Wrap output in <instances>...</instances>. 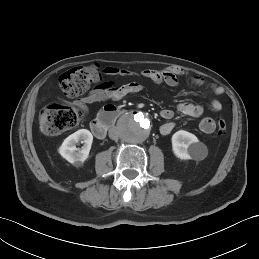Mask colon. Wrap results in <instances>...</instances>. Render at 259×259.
Masks as SVG:
<instances>
[{"instance_id": "1", "label": "colon", "mask_w": 259, "mask_h": 259, "mask_svg": "<svg viewBox=\"0 0 259 259\" xmlns=\"http://www.w3.org/2000/svg\"><path fill=\"white\" fill-rule=\"evenodd\" d=\"M100 78L101 73L96 66L75 67L60 76L59 87L66 96L77 97ZM83 116L84 113L79 108L53 102L46 105L40 113V130L44 135L55 136L77 125ZM215 124L218 133L224 134L227 129L224 118L217 116Z\"/></svg>"}]
</instances>
